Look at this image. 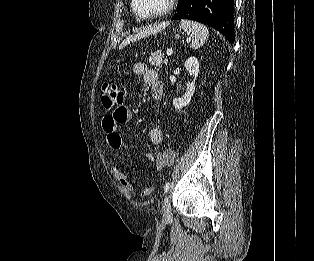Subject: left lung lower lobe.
I'll list each match as a JSON object with an SVG mask.
<instances>
[{
  "label": "left lung lower lobe",
  "mask_w": 314,
  "mask_h": 261,
  "mask_svg": "<svg viewBox=\"0 0 314 261\" xmlns=\"http://www.w3.org/2000/svg\"><path fill=\"white\" fill-rule=\"evenodd\" d=\"M234 0H184L172 20L189 19L205 23L234 43Z\"/></svg>",
  "instance_id": "obj_1"
}]
</instances>
